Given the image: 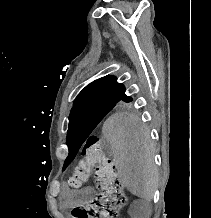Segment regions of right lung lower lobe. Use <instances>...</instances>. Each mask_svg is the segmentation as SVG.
<instances>
[{
	"label": "right lung lower lobe",
	"mask_w": 211,
	"mask_h": 218,
	"mask_svg": "<svg viewBox=\"0 0 211 218\" xmlns=\"http://www.w3.org/2000/svg\"><path fill=\"white\" fill-rule=\"evenodd\" d=\"M123 99H130V97H128V96H126V95L124 94Z\"/></svg>",
	"instance_id": "obj_1"
}]
</instances>
